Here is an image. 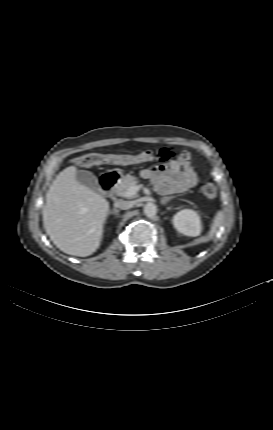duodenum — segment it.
Returning <instances> with one entry per match:
<instances>
[{
    "label": "duodenum",
    "mask_w": 273,
    "mask_h": 430,
    "mask_svg": "<svg viewBox=\"0 0 273 430\" xmlns=\"http://www.w3.org/2000/svg\"><path fill=\"white\" fill-rule=\"evenodd\" d=\"M118 181V176L114 173H106L100 179L102 190L109 193L113 190Z\"/></svg>",
    "instance_id": "1"
}]
</instances>
